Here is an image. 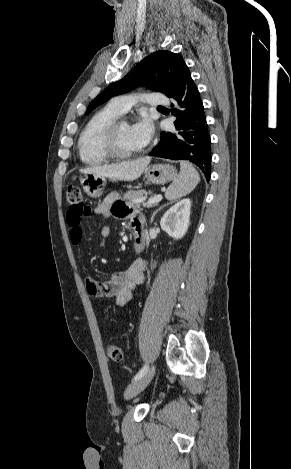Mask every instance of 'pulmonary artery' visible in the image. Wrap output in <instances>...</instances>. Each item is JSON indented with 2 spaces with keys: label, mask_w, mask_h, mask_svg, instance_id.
Segmentation results:
<instances>
[{
  "label": "pulmonary artery",
  "mask_w": 291,
  "mask_h": 469,
  "mask_svg": "<svg viewBox=\"0 0 291 469\" xmlns=\"http://www.w3.org/2000/svg\"><path fill=\"white\" fill-rule=\"evenodd\" d=\"M139 100L144 101L151 107H162L169 103V99L164 95L160 93H149L141 96L140 98L132 95L116 96L111 100L110 104L120 113H125Z\"/></svg>",
  "instance_id": "obj_1"
}]
</instances>
